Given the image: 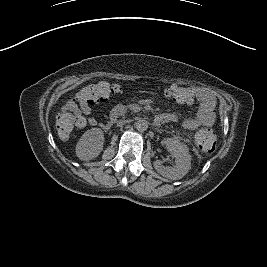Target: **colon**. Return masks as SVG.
I'll return each instance as SVG.
<instances>
[{
	"label": "colon",
	"mask_w": 267,
	"mask_h": 267,
	"mask_svg": "<svg viewBox=\"0 0 267 267\" xmlns=\"http://www.w3.org/2000/svg\"><path fill=\"white\" fill-rule=\"evenodd\" d=\"M119 92V87L115 84L100 82L90 84L82 88L78 94V101L82 104H97L110 101ZM168 96L175 102L185 104L189 101V93L182 88L173 87L169 89ZM82 122L69 113L60 115L56 123V132L59 138L70 137L74 125ZM196 145L203 155L212 153L216 148V136L211 129H202L196 133Z\"/></svg>",
	"instance_id": "obj_1"
}]
</instances>
